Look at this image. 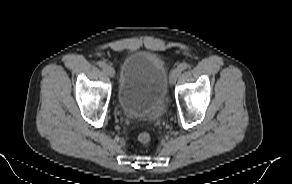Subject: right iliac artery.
<instances>
[{"mask_svg": "<svg viewBox=\"0 0 292 184\" xmlns=\"http://www.w3.org/2000/svg\"><path fill=\"white\" fill-rule=\"evenodd\" d=\"M98 66L101 68H104L106 66V63L104 61H98Z\"/></svg>", "mask_w": 292, "mask_h": 184, "instance_id": "obj_1", "label": "right iliac artery"}]
</instances>
